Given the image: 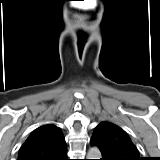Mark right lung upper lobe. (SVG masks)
<instances>
[{
	"instance_id": "1",
	"label": "right lung upper lobe",
	"mask_w": 160,
	"mask_h": 160,
	"mask_svg": "<svg viewBox=\"0 0 160 160\" xmlns=\"http://www.w3.org/2000/svg\"><path fill=\"white\" fill-rule=\"evenodd\" d=\"M67 151L65 138L55 125L35 129L19 150L17 160H58Z\"/></svg>"
}]
</instances>
